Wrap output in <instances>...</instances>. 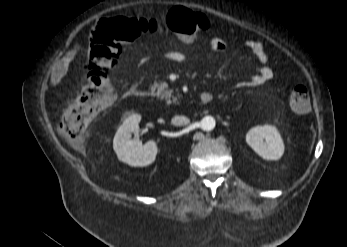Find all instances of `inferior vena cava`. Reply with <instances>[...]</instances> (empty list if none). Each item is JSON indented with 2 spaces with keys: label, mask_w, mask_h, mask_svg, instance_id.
<instances>
[{
  "label": "inferior vena cava",
  "mask_w": 347,
  "mask_h": 247,
  "mask_svg": "<svg viewBox=\"0 0 347 247\" xmlns=\"http://www.w3.org/2000/svg\"><path fill=\"white\" fill-rule=\"evenodd\" d=\"M189 119L185 116L176 115L172 118L171 123L175 126H184L189 123Z\"/></svg>",
  "instance_id": "602c4592"
}]
</instances>
